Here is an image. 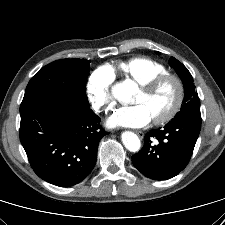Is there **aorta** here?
I'll return each instance as SVG.
<instances>
[{"label":"aorta","instance_id":"aorta-1","mask_svg":"<svg viewBox=\"0 0 225 225\" xmlns=\"http://www.w3.org/2000/svg\"><path fill=\"white\" fill-rule=\"evenodd\" d=\"M136 88L137 86L133 81L125 80L114 86L113 94L120 102L129 103ZM121 138L126 149L131 152L139 151L141 142L136 134L125 131L122 133Z\"/></svg>","mask_w":225,"mask_h":225}]
</instances>
